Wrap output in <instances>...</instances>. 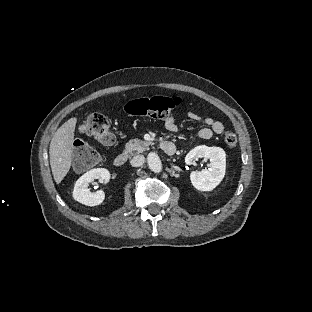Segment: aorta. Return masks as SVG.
<instances>
[{"instance_id": "762f6f07", "label": "aorta", "mask_w": 312, "mask_h": 312, "mask_svg": "<svg viewBox=\"0 0 312 312\" xmlns=\"http://www.w3.org/2000/svg\"><path fill=\"white\" fill-rule=\"evenodd\" d=\"M148 165L152 172L160 173L162 172V162L160 161L159 157L155 154H150L148 157Z\"/></svg>"}]
</instances>
